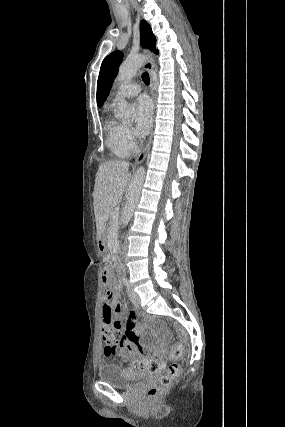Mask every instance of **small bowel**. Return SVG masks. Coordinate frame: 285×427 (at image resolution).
<instances>
[{
    "label": "small bowel",
    "instance_id": "c3829d8e",
    "mask_svg": "<svg viewBox=\"0 0 285 427\" xmlns=\"http://www.w3.org/2000/svg\"><path fill=\"white\" fill-rule=\"evenodd\" d=\"M114 309L111 311L104 305L101 307L102 314V326L106 324H112L117 326L119 329L124 328L123 336L120 343V348L114 353H117L122 359L130 360L136 358L140 354L134 350V343L137 336V323L133 317L122 321L115 320L113 315H118L123 312L122 305L118 302V296L116 295L113 299Z\"/></svg>",
    "mask_w": 285,
    "mask_h": 427
}]
</instances>
